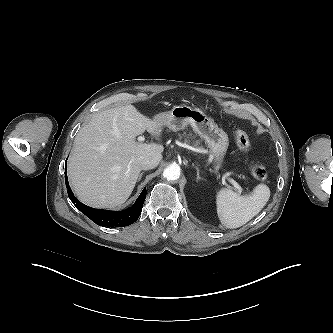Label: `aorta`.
I'll return each instance as SVG.
<instances>
[{
    "instance_id": "obj_1",
    "label": "aorta",
    "mask_w": 333,
    "mask_h": 333,
    "mask_svg": "<svg viewBox=\"0 0 333 333\" xmlns=\"http://www.w3.org/2000/svg\"><path fill=\"white\" fill-rule=\"evenodd\" d=\"M163 177L169 181H175L180 178V167L178 165H170L165 168Z\"/></svg>"
}]
</instances>
